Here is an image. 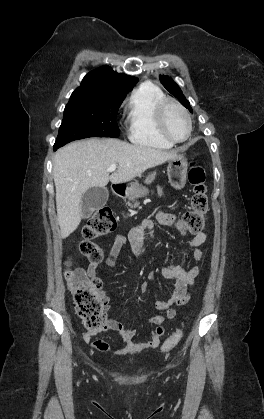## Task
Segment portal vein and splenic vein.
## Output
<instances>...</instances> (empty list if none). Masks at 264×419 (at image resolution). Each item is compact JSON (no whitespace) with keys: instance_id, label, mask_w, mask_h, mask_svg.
I'll return each mask as SVG.
<instances>
[{"instance_id":"obj_1","label":"portal vein and splenic vein","mask_w":264,"mask_h":419,"mask_svg":"<svg viewBox=\"0 0 264 419\" xmlns=\"http://www.w3.org/2000/svg\"><path fill=\"white\" fill-rule=\"evenodd\" d=\"M116 170V164H112L109 166V168L107 169V172H113Z\"/></svg>"}]
</instances>
